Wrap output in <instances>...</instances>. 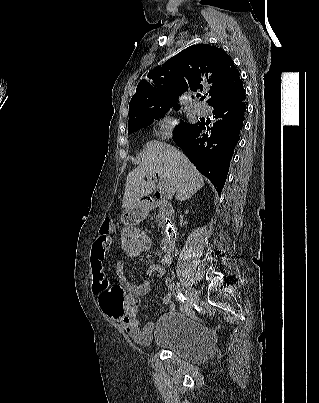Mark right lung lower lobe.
<instances>
[{"label": "right lung lower lobe", "instance_id": "98d812e1", "mask_svg": "<svg viewBox=\"0 0 319 403\" xmlns=\"http://www.w3.org/2000/svg\"><path fill=\"white\" fill-rule=\"evenodd\" d=\"M244 96L215 106L213 126L200 120L180 132L173 133L174 142L188 159L207 177L221 194L233 151L245 120Z\"/></svg>", "mask_w": 319, "mask_h": 403}]
</instances>
